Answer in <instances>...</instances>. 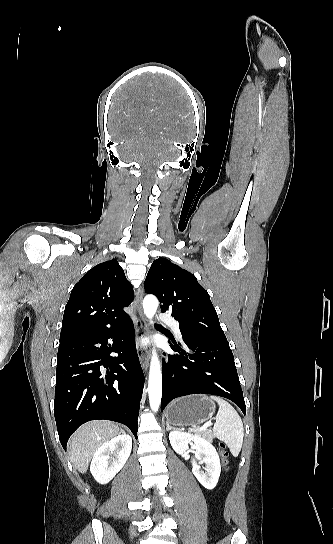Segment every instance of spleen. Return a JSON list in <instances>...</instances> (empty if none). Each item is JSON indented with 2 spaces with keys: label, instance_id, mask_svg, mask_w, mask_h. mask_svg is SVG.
<instances>
[{
  "label": "spleen",
  "instance_id": "1",
  "mask_svg": "<svg viewBox=\"0 0 333 544\" xmlns=\"http://www.w3.org/2000/svg\"><path fill=\"white\" fill-rule=\"evenodd\" d=\"M212 400L219 405V410L215 417L216 422L213 427V434L219 440L224 441L232 455L237 457L241 451L244 428L241 417L238 412L226 400L211 396Z\"/></svg>",
  "mask_w": 333,
  "mask_h": 544
}]
</instances>
